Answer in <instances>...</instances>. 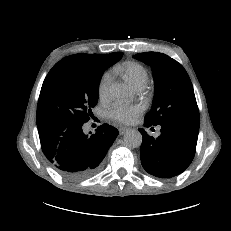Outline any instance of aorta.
Wrapping results in <instances>:
<instances>
[{
    "label": "aorta",
    "instance_id": "762f6f07",
    "mask_svg": "<svg viewBox=\"0 0 231 231\" xmlns=\"http://www.w3.org/2000/svg\"><path fill=\"white\" fill-rule=\"evenodd\" d=\"M111 95L120 101H127L130 91L124 84H114L110 88ZM124 143L128 148H138L142 144V135L136 129H129L124 135Z\"/></svg>",
    "mask_w": 231,
    "mask_h": 231
}]
</instances>
